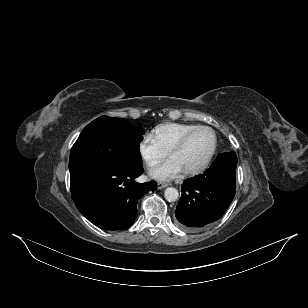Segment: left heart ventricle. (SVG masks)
<instances>
[{
  "label": "left heart ventricle",
  "mask_w": 308,
  "mask_h": 308,
  "mask_svg": "<svg viewBox=\"0 0 308 308\" xmlns=\"http://www.w3.org/2000/svg\"><path fill=\"white\" fill-rule=\"evenodd\" d=\"M213 146V135L208 130H201L195 133L186 145L171 154L183 170L194 168L201 164L209 155Z\"/></svg>",
  "instance_id": "obj_1"
}]
</instances>
